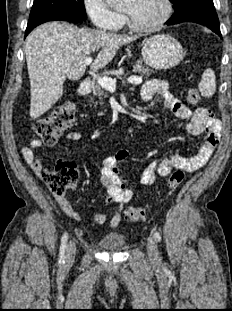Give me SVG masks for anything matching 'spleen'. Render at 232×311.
<instances>
[{"instance_id":"spleen-1","label":"spleen","mask_w":232,"mask_h":311,"mask_svg":"<svg viewBox=\"0 0 232 311\" xmlns=\"http://www.w3.org/2000/svg\"><path fill=\"white\" fill-rule=\"evenodd\" d=\"M199 91L203 97H211L216 91V76L211 68H208L202 74V80L198 85Z\"/></svg>"}]
</instances>
